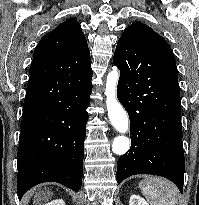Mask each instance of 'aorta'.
Returning a JSON list of instances; mask_svg holds the SVG:
<instances>
[{"label": "aorta", "instance_id": "1", "mask_svg": "<svg viewBox=\"0 0 199 205\" xmlns=\"http://www.w3.org/2000/svg\"><path fill=\"white\" fill-rule=\"evenodd\" d=\"M119 79V71L117 67H113L107 75L106 80V106L108 117L111 124L119 133H126L129 129L128 116L118 102L116 97V88ZM130 147V140L126 136H118L114 139L112 144V151L117 155L125 154Z\"/></svg>", "mask_w": 199, "mask_h": 205}]
</instances>
